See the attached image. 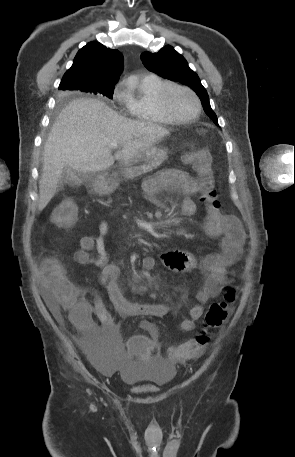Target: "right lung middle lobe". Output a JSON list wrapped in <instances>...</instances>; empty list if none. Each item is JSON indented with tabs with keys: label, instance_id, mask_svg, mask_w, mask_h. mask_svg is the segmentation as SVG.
I'll list each match as a JSON object with an SVG mask.
<instances>
[{
	"label": "right lung middle lobe",
	"instance_id": "1",
	"mask_svg": "<svg viewBox=\"0 0 295 457\" xmlns=\"http://www.w3.org/2000/svg\"><path fill=\"white\" fill-rule=\"evenodd\" d=\"M72 87L74 89H78V90L93 93V94H101L103 96H106V97L112 99L115 85L104 86V87H100V88L92 89V90H91L90 86L83 84V83L74 84Z\"/></svg>",
	"mask_w": 295,
	"mask_h": 457
}]
</instances>
